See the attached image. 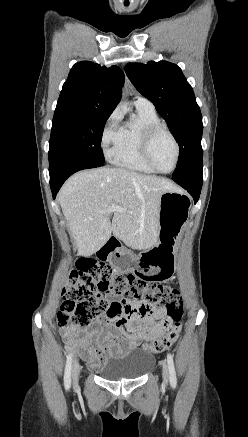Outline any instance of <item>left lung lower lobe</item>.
<instances>
[{
	"label": "left lung lower lobe",
	"instance_id": "obj_1",
	"mask_svg": "<svg viewBox=\"0 0 248 437\" xmlns=\"http://www.w3.org/2000/svg\"><path fill=\"white\" fill-rule=\"evenodd\" d=\"M202 175L203 173L201 172L184 178H173V180L186 189L192 195L194 202L196 203L199 199L202 188Z\"/></svg>",
	"mask_w": 248,
	"mask_h": 437
}]
</instances>
